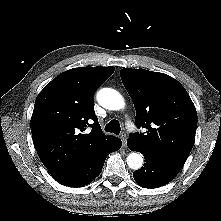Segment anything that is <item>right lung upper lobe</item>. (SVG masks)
<instances>
[{
	"label": "right lung upper lobe",
	"mask_w": 221,
	"mask_h": 221,
	"mask_svg": "<svg viewBox=\"0 0 221 221\" xmlns=\"http://www.w3.org/2000/svg\"><path fill=\"white\" fill-rule=\"evenodd\" d=\"M114 67H80L55 77L37 96L30 122L42 163L59 181L116 137L106 136L94 113L95 90ZM92 123V124H91ZM88 126L90 133L85 134Z\"/></svg>",
	"instance_id": "cb5924a9"
}]
</instances>
